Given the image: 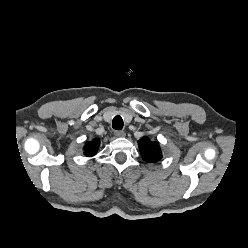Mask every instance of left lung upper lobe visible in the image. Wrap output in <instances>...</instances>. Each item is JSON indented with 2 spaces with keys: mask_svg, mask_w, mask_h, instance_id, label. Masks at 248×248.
I'll return each mask as SVG.
<instances>
[{
  "mask_svg": "<svg viewBox=\"0 0 248 248\" xmlns=\"http://www.w3.org/2000/svg\"><path fill=\"white\" fill-rule=\"evenodd\" d=\"M142 158L146 162L155 163L162 158L160 146L157 142L150 141L149 138H142L138 141Z\"/></svg>",
  "mask_w": 248,
  "mask_h": 248,
  "instance_id": "left-lung-upper-lobe-1",
  "label": "left lung upper lobe"
}]
</instances>
